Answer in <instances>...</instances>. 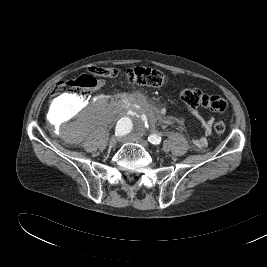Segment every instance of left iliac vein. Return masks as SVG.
Masks as SVG:
<instances>
[{
  "mask_svg": "<svg viewBox=\"0 0 267 267\" xmlns=\"http://www.w3.org/2000/svg\"><path fill=\"white\" fill-rule=\"evenodd\" d=\"M126 140L137 142V143H139L140 145H142L145 148L149 147V143L146 140H143V139L139 138L136 135H132L130 138H127Z\"/></svg>",
  "mask_w": 267,
  "mask_h": 267,
  "instance_id": "1",
  "label": "left iliac vein"
}]
</instances>
